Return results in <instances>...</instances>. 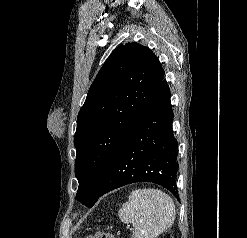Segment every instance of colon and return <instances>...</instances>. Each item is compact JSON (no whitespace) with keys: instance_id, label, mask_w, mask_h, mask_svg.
Returning <instances> with one entry per match:
<instances>
[{"instance_id":"obj_1","label":"colon","mask_w":247,"mask_h":238,"mask_svg":"<svg viewBox=\"0 0 247 238\" xmlns=\"http://www.w3.org/2000/svg\"><path fill=\"white\" fill-rule=\"evenodd\" d=\"M85 238H117V237L113 233L99 231L95 233L94 235H89Z\"/></svg>"}]
</instances>
